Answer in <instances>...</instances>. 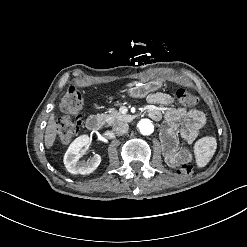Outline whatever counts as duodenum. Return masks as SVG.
Masks as SVG:
<instances>
[{
    "label": "duodenum",
    "instance_id": "1",
    "mask_svg": "<svg viewBox=\"0 0 247 247\" xmlns=\"http://www.w3.org/2000/svg\"><path fill=\"white\" fill-rule=\"evenodd\" d=\"M103 118L99 115H92L86 120V127L91 131H97L102 127Z\"/></svg>",
    "mask_w": 247,
    "mask_h": 247
}]
</instances>
